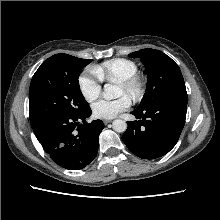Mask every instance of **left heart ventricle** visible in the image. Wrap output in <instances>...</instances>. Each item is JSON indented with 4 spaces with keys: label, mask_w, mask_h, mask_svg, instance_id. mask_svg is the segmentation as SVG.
<instances>
[{
    "label": "left heart ventricle",
    "mask_w": 220,
    "mask_h": 220,
    "mask_svg": "<svg viewBox=\"0 0 220 220\" xmlns=\"http://www.w3.org/2000/svg\"><path fill=\"white\" fill-rule=\"evenodd\" d=\"M118 94L119 95H126L122 87L118 86Z\"/></svg>",
    "instance_id": "obj_1"
}]
</instances>
